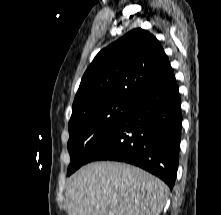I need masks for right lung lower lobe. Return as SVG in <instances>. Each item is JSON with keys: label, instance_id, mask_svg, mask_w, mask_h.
Here are the masks:
<instances>
[{"label": "right lung lower lobe", "instance_id": "obj_1", "mask_svg": "<svg viewBox=\"0 0 221 215\" xmlns=\"http://www.w3.org/2000/svg\"><path fill=\"white\" fill-rule=\"evenodd\" d=\"M182 130L175 77L136 99L130 111L90 154L87 163L114 160L133 164L175 184Z\"/></svg>", "mask_w": 221, "mask_h": 215}]
</instances>
